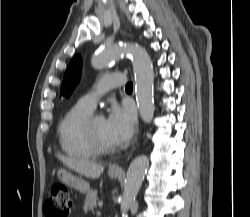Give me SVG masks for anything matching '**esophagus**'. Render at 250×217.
I'll return each mask as SVG.
<instances>
[{"label":"esophagus","mask_w":250,"mask_h":217,"mask_svg":"<svg viewBox=\"0 0 250 217\" xmlns=\"http://www.w3.org/2000/svg\"><path fill=\"white\" fill-rule=\"evenodd\" d=\"M110 170L114 172H122V168L120 165H114L110 168Z\"/></svg>","instance_id":"obj_1"}]
</instances>
